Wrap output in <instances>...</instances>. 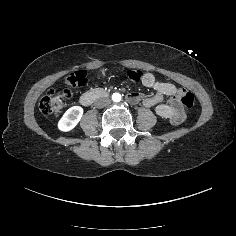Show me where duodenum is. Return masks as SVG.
Segmentation results:
<instances>
[{"instance_id": "410a0bca", "label": "duodenum", "mask_w": 236, "mask_h": 236, "mask_svg": "<svg viewBox=\"0 0 236 236\" xmlns=\"http://www.w3.org/2000/svg\"><path fill=\"white\" fill-rule=\"evenodd\" d=\"M107 95L104 90L95 89L83 93L80 97V103L84 106L90 105L94 101L103 98ZM128 100L132 103H137L141 100V96L136 93L128 95ZM144 105L147 107H154L157 114L172 121L179 122L183 119V109L177 96H173L169 103L162 104L159 97L144 99Z\"/></svg>"}]
</instances>
